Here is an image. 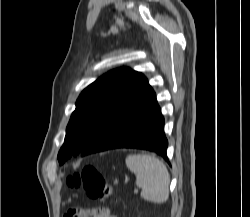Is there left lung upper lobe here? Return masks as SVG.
<instances>
[{
  "mask_svg": "<svg viewBox=\"0 0 250 217\" xmlns=\"http://www.w3.org/2000/svg\"><path fill=\"white\" fill-rule=\"evenodd\" d=\"M144 79L142 73L119 68L84 89L67 125L65 142L58 153L59 163L63 164L68 158L81 154Z\"/></svg>",
  "mask_w": 250,
  "mask_h": 217,
  "instance_id": "left-lung-upper-lobe-1",
  "label": "left lung upper lobe"
}]
</instances>
